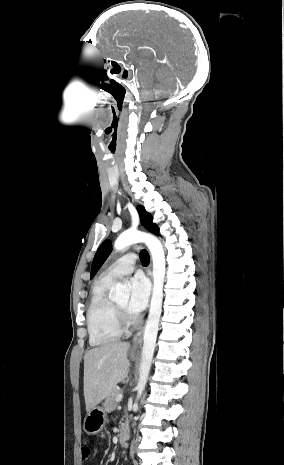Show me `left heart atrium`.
Wrapping results in <instances>:
<instances>
[{
	"label": "left heart atrium",
	"instance_id": "39dd6f15",
	"mask_svg": "<svg viewBox=\"0 0 284 465\" xmlns=\"http://www.w3.org/2000/svg\"><path fill=\"white\" fill-rule=\"evenodd\" d=\"M130 298L127 311L130 316H138L147 306L149 299V285L141 275H136L129 281Z\"/></svg>",
	"mask_w": 284,
	"mask_h": 465
}]
</instances>
